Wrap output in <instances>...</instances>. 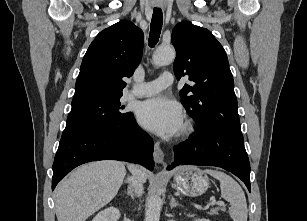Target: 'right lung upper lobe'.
<instances>
[{"label":"right lung upper lobe","instance_id":"obj_1","mask_svg":"<svg viewBox=\"0 0 307 221\" xmlns=\"http://www.w3.org/2000/svg\"><path fill=\"white\" fill-rule=\"evenodd\" d=\"M144 35L130 21H120L101 31L90 44L81 64L72 103L122 96L140 62Z\"/></svg>","mask_w":307,"mask_h":221}]
</instances>
